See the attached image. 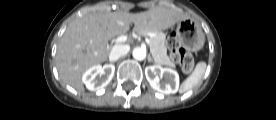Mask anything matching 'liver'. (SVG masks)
Wrapping results in <instances>:
<instances>
[{"instance_id": "1", "label": "liver", "mask_w": 276, "mask_h": 120, "mask_svg": "<svg viewBox=\"0 0 276 120\" xmlns=\"http://www.w3.org/2000/svg\"><path fill=\"white\" fill-rule=\"evenodd\" d=\"M188 18L174 8L155 7L136 14L97 12L74 20L58 44L56 65L61 80L79 92L84 91L82 74L90 67L105 62L111 52L108 41L124 35L134 23L136 32L166 30Z\"/></svg>"}]
</instances>
